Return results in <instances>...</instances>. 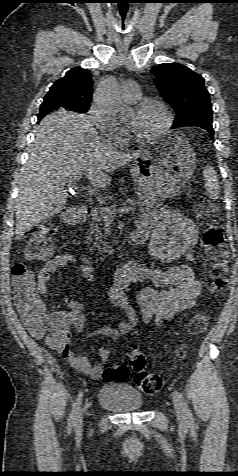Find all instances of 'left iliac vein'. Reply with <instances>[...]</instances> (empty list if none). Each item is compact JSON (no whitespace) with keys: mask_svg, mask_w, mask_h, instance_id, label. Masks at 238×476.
I'll return each mask as SVG.
<instances>
[{"mask_svg":"<svg viewBox=\"0 0 238 476\" xmlns=\"http://www.w3.org/2000/svg\"><path fill=\"white\" fill-rule=\"evenodd\" d=\"M173 404H174V408H175V411H176V417H177V420H178L179 424L181 426H185L186 425V417H185V414H184L181 406L178 404V402L175 399L173 400Z\"/></svg>","mask_w":238,"mask_h":476,"instance_id":"obj_1","label":"left iliac vein"}]
</instances>
